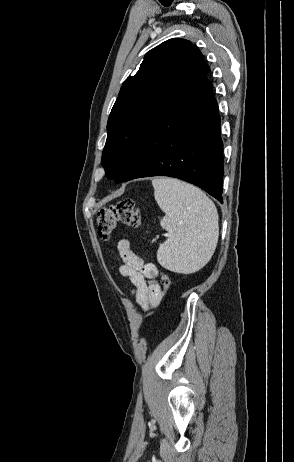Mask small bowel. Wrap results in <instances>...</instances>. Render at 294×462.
Masks as SVG:
<instances>
[{
	"mask_svg": "<svg viewBox=\"0 0 294 462\" xmlns=\"http://www.w3.org/2000/svg\"><path fill=\"white\" fill-rule=\"evenodd\" d=\"M117 248L122 261L120 274L130 280L137 303L144 310L157 306L161 300L157 267L144 262L142 257L132 250L127 239H121Z\"/></svg>",
	"mask_w": 294,
	"mask_h": 462,
	"instance_id": "small-bowel-1",
	"label": "small bowel"
}]
</instances>
